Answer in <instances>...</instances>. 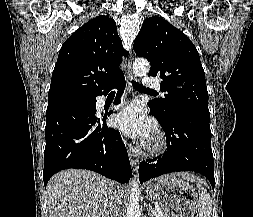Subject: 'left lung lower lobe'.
<instances>
[{
    "instance_id": "0a47b994",
    "label": "left lung lower lobe",
    "mask_w": 253,
    "mask_h": 217,
    "mask_svg": "<svg viewBox=\"0 0 253 217\" xmlns=\"http://www.w3.org/2000/svg\"><path fill=\"white\" fill-rule=\"evenodd\" d=\"M149 107L165 131L167 150L162 157L140 164L141 183L166 173L194 171L204 175L214 190L210 114L175 109L166 117H160L155 114L150 103Z\"/></svg>"
}]
</instances>
